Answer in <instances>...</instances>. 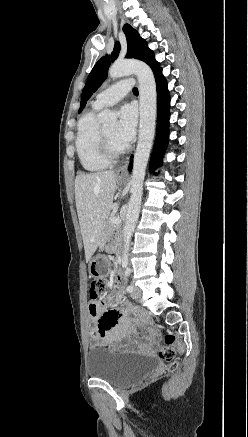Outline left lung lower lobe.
I'll return each mask as SVG.
<instances>
[{"instance_id":"0a47b994","label":"left lung lower lobe","mask_w":248,"mask_h":437,"mask_svg":"<svg viewBox=\"0 0 248 437\" xmlns=\"http://www.w3.org/2000/svg\"><path fill=\"white\" fill-rule=\"evenodd\" d=\"M157 84V100H158V120H157V136L155 141V152L151 158V168L154 169L161 165L162 157L168 143L169 136V107L170 98L167 89V83L162 75V69L154 72ZM132 169V157L129 165V171Z\"/></svg>"}]
</instances>
